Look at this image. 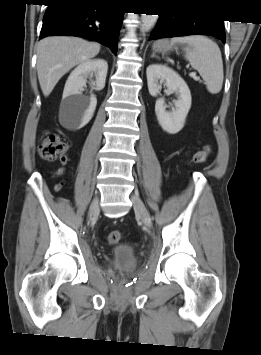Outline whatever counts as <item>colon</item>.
Masks as SVG:
<instances>
[{"instance_id":"colon-1","label":"colon","mask_w":261,"mask_h":355,"mask_svg":"<svg viewBox=\"0 0 261 355\" xmlns=\"http://www.w3.org/2000/svg\"><path fill=\"white\" fill-rule=\"evenodd\" d=\"M67 149V144L56 134L47 133L38 147L39 156L47 161H55L61 158ZM211 147L205 146L202 150L196 152L191 160L192 165H200L207 161L211 155ZM64 181L55 186V190H60ZM122 239V233L119 230H111L107 234V240L110 244H118Z\"/></svg>"}]
</instances>
